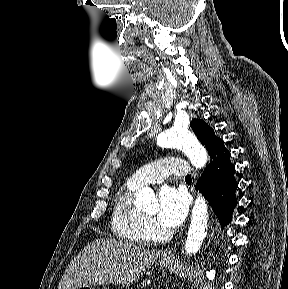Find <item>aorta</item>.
Returning <instances> with one entry per match:
<instances>
[{
	"mask_svg": "<svg viewBox=\"0 0 288 289\" xmlns=\"http://www.w3.org/2000/svg\"><path fill=\"white\" fill-rule=\"evenodd\" d=\"M157 142L162 147L182 150L196 168H203L207 162L205 148L200 145L187 128L173 127L161 133L157 138ZM135 205L137 208L146 211H157L159 208L154 192L148 187L138 191ZM207 225V203L202 196L198 195L192 209L191 223L185 241L187 255L195 254L200 249L206 236Z\"/></svg>",
	"mask_w": 288,
	"mask_h": 289,
	"instance_id": "obj_1",
	"label": "aorta"
}]
</instances>
